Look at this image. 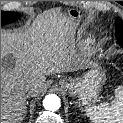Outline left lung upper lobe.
Wrapping results in <instances>:
<instances>
[{
	"label": "left lung upper lobe",
	"instance_id": "5c2ea615",
	"mask_svg": "<svg viewBox=\"0 0 123 123\" xmlns=\"http://www.w3.org/2000/svg\"><path fill=\"white\" fill-rule=\"evenodd\" d=\"M116 37L120 46L123 47V20L116 18Z\"/></svg>",
	"mask_w": 123,
	"mask_h": 123
}]
</instances>
